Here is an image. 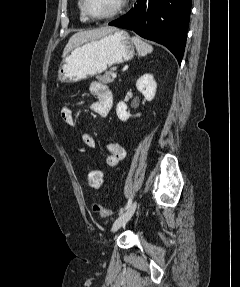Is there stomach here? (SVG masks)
Here are the masks:
<instances>
[{"label": "stomach", "mask_w": 240, "mask_h": 287, "mask_svg": "<svg viewBox=\"0 0 240 287\" xmlns=\"http://www.w3.org/2000/svg\"><path fill=\"white\" fill-rule=\"evenodd\" d=\"M135 46L125 30L116 29L85 42L64 56L58 69L61 83H75L103 73L108 67L132 59Z\"/></svg>", "instance_id": "0dacf381"}]
</instances>
